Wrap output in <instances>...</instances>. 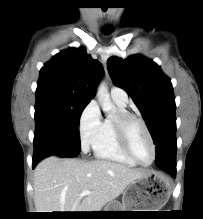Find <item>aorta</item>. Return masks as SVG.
<instances>
[{
	"mask_svg": "<svg viewBox=\"0 0 203 219\" xmlns=\"http://www.w3.org/2000/svg\"><path fill=\"white\" fill-rule=\"evenodd\" d=\"M96 95L101 103V107L104 112L110 113L115 110V107L110 100L108 88L105 82H101L98 85Z\"/></svg>",
	"mask_w": 203,
	"mask_h": 219,
	"instance_id": "762f6f07",
	"label": "aorta"
}]
</instances>
